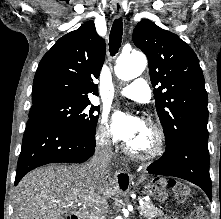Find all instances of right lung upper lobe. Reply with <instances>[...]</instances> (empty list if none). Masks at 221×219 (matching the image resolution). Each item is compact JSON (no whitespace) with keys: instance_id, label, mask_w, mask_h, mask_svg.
Returning <instances> with one entry per match:
<instances>
[{"instance_id":"obj_1","label":"right lung upper lobe","mask_w":221,"mask_h":219,"mask_svg":"<svg viewBox=\"0 0 221 219\" xmlns=\"http://www.w3.org/2000/svg\"><path fill=\"white\" fill-rule=\"evenodd\" d=\"M105 58V41L93 21L61 37L44 55L37 68L32 102L48 98L89 99L98 95L93 82Z\"/></svg>"}]
</instances>
